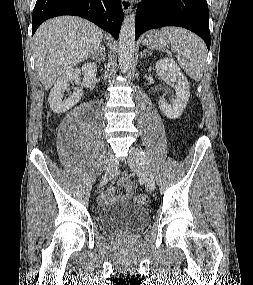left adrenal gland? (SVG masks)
<instances>
[{"label":"left adrenal gland","instance_id":"left-adrenal-gland-1","mask_svg":"<svg viewBox=\"0 0 253 285\" xmlns=\"http://www.w3.org/2000/svg\"><path fill=\"white\" fill-rule=\"evenodd\" d=\"M147 52H148V50H143V52H141V57L146 55Z\"/></svg>","mask_w":253,"mask_h":285}]
</instances>
